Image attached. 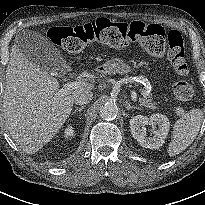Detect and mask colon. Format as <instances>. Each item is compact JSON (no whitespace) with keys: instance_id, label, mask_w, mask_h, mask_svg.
<instances>
[{"instance_id":"1","label":"colon","mask_w":205,"mask_h":205,"mask_svg":"<svg viewBox=\"0 0 205 205\" xmlns=\"http://www.w3.org/2000/svg\"><path fill=\"white\" fill-rule=\"evenodd\" d=\"M48 36L52 42L69 52L80 51L88 42H100L116 48L138 43L154 54L167 51L171 65L180 76L173 85L175 98L186 102L194 96V88L185 78L188 66L185 60L184 40L177 30L166 33L165 28L157 23L140 20L123 23L100 18L76 27H52Z\"/></svg>"}]
</instances>
